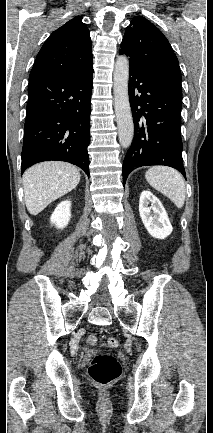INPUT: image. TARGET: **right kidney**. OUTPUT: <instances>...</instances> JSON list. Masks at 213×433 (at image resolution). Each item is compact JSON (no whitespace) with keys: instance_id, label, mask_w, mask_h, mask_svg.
<instances>
[{"instance_id":"obj_1","label":"right kidney","mask_w":213,"mask_h":433,"mask_svg":"<svg viewBox=\"0 0 213 433\" xmlns=\"http://www.w3.org/2000/svg\"><path fill=\"white\" fill-rule=\"evenodd\" d=\"M71 202L68 200L62 201L57 205L53 214L51 215V223L55 224L57 228H64L71 217Z\"/></svg>"}]
</instances>
